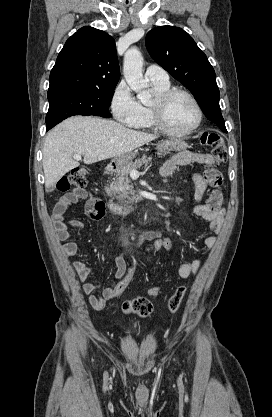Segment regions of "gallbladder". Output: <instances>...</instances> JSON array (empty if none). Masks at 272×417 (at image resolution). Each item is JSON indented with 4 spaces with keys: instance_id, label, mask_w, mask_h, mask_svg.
<instances>
[{
    "instance_id": "1",
    "label": "gallbladder",
    "mask_w": 272,
    "mask_h": 417,
    "mask_svg": "<svg viewBox=\"0 0 272 417\" xmlns=\"http://www.w3.org/2000/svg\"><path fill=\"white\" fill-rule=\"evenodd\" d=\"M46 191H47V192H51V191H53V186H49V187H47V188H46Z\"/></svg>"
}]
</instances>
